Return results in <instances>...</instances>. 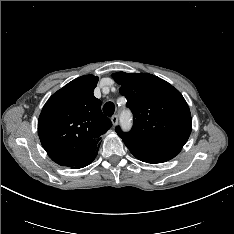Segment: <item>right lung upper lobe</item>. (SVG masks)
<instances>
[{"instance_id":"cb5924a9","label":"right lung upper lobe","mask_w":234,"mask_h":234,"mask_svg":"<svg viewBox=\"0 0 234 234\" xmlns=\"http://www.w3.org/2000/svg\"><path fill=\"white\" fill-rule=\"evenodd\" d=\"M97 82L94 75L74 79L54 93L41 111V144L61 166L82 168L94 160L101 136L112 126L93 95Z\"/></svg>"}]
</instances>
